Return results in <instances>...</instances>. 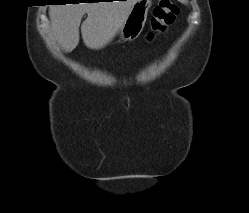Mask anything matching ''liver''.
I'll list each match as a JSON object with an SVG mask.
<instances>
[{
    "label": "liver",
    "instance_id": "liver-1",
    "mask_svg": "<svg viewBox=\"0 0 249 213\" xmlns=\"http://www.w3.org/2000/svg\"><path fill=\"white\" fill-rule=\"evenodd\" d=\"M137 0L51 5V32L65 52L73 51L79 43V27L86 47L100 50L108 45L125 21Z\"/></svg>",
    "mask_w": 249,
    "mask_h": 213
}]
</instances>
